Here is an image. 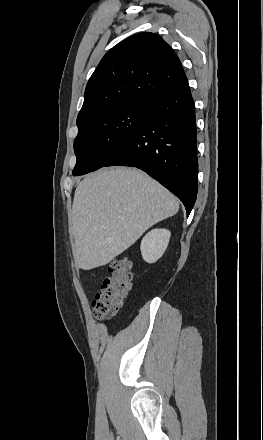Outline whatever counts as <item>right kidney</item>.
<instances>
[{
	"mask_svg": "<svg viewBox=\"0 0 263 440\" xmlns=\"http://www.w3.org/2000/svg\"><path fill=\"white\" fill-rule=\"evenodd\" d=\"M171 233L166 229H153L141 241V254L147 263L156 262L165 252Z\"/></svg>",
	"mask_w": 263,
	"mask_h": 440,
	"instance_id": "right-kidney-1",
	"label": "right kidney"
}]
</instances>
